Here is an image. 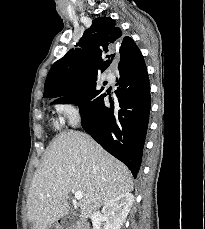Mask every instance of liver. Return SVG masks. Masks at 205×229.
I'll use <instances>...</instances> for the list:
<instances>
[{"label": "liver", "instance_id": "liver-1", "mask_svg": "<svg viewBox=\"0 0 205 229\" xmlns=\"http://www.w3.org/2000/svg\"><path fill=\"white\" fill-rule=\"evenodd\" d=\"M128 168L90 136L79 131L56 136L36 170L27 199L33 229H48L69 210L68 195L81 191L82 218L110 200L133 190Z\"/></svg>", "mask_w": 205, "mask_h": 229}]
</instances>
